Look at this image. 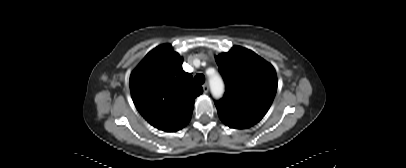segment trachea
I'll use <instances>...</instances> for the list:
<instances>
[{"label": "trachea", "instance_id": "3493384b", "mask_svg": "<svg viewBox=\"0 0 406 168\" xmlns=\"http://www.w3.org/2000/svg\"><path fill=\"white\" fill-rule=\"evenodd\" d=\"M197 84H203L205 82V77L203 74H197L194 78Z\"/></svg>", "mask_w": 406, "mask_h": 168}]
</instances>
